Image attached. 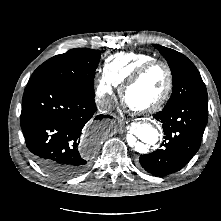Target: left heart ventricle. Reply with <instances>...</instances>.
Wrapping results in <instances>:
<instances>
[{"label": "left heart ventricle", "instance_id": "b2bd125f", "mask_svg": "<svg viewBox=\"0 0 221 221\" xmlns=\"http://www.w3.org/2000/svg\"><path fill=\"white\" fill-rule=\"evenodd\" d=\"M166 85V71L161 66H155L128 89L127 102L137 108L149 106L161 97Z\"/></svg>", "mask_w": 221, "mask_h": 221}]
</instances>
